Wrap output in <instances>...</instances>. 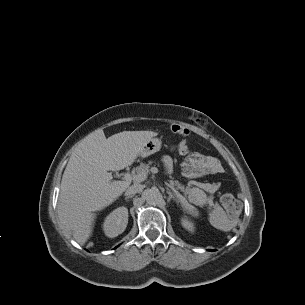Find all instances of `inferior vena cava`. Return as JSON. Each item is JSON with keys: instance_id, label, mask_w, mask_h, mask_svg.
<instances>
[{"instance_id": "602c4592", "label": "inferior vena cava", "mask_w": 305, "mask_h": 305, "mask_svg": "<svg viewBox=\"0 0 305 305\" xmlns=\"http://www.w3.org/2000/svg\"><path fill=\"white\" fill-rule=\"evenodd\" d=\"M143 185L141 184H134V185H131L130 187L127 188L126 192H125V195L127 196H131V195H134L136 193H139L143 190Z\"/></svg>"}]
</instances>
